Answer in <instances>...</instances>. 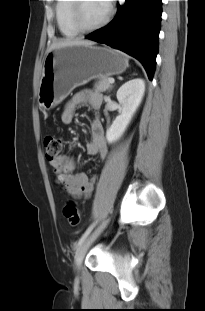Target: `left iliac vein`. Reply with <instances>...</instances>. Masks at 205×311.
<instances>
[{
	"label": "left iliac vein",
	"instance_id": "4c4485c4",
	"mask_svg": "<svg viewBox=\"0 0 205 311\" xmlns=\"http://www.w3.org/2000/svg\"><path fill=\"white\" fill-rule=\"evenodd\" d=\"M102 228L103 226H101L95 233H93L91 236L85 239L83 243L81 244V246L79 247V249L77 250L76 255H75V267L77 270L81 268L88 246L90 245L92 240L97 236V234L102 230Z\"/></svg>",
	"mask_w": 205,
	"mask_h": 311
}]
</instances>
